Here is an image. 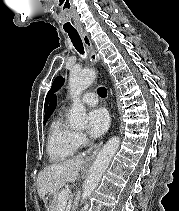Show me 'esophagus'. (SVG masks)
I'll return each instance as SVG.
<instances>
[{"instance_id": "esophagus-1", "label": "esophagus", "mask_w": 179, "mask_h": 211, "mask_svg": "<svg viewBox=\"0 0 179 211\" xmlns=\"http://www.w3.org/2000/svg\"><path fill=\"white\" fill-rule=\"evenodd\" d=\"M80 35L83 39L84 44L88 49L90 61L92 65H95L99 61V55L94 49V46L90 41L89 36L84 31H80ZM100 147L101 143L95 145L94 147H87V151H84V154H82V159H86V163H95V158H93V156H95L96 152H100Z\"/></svg>"}]
</instances>
